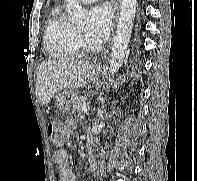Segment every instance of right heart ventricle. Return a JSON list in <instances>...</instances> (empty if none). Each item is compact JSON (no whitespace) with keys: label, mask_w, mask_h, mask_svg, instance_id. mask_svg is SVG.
<instances>
[{"label":"right heart ventricle","mask_w":197,"mask_h":181,"mask_svg":"<svg viewBox=\"0 0 197 181\" xmlns=\"http://www.w3.org/2000/svg\"><path fill=\"white\" fill-rule=\"evenodd\" d=\"M44 46L49 56L57 59L73 58L79 55L74 27L59 13L48 19Z\"/></svg>","instance_id":"obj_1"}]
</instances>
